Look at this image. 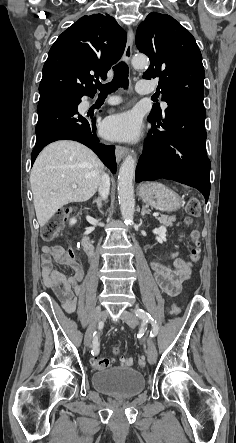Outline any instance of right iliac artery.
Returning <instances> with one entry per match:
<instances>
[{"label": "right iliac artery", "mask_w": 236, "mask_h": 443, "mask_svg": "<svg viewBox=\"0 0 236 443\" xmlns=\"http://www.w3.org/2000/svg\"><path fill=\"white\" fill-rule=\"evenodd\" d=\"M99 353V342H98V334L95 331L93 333V344H92V351L91 354L92 355H97Z\"/></svg>", "instance_id": "82829eb1"}]
</instances>
